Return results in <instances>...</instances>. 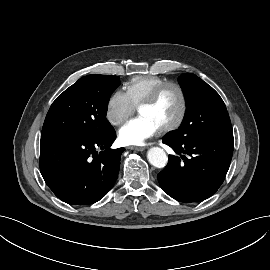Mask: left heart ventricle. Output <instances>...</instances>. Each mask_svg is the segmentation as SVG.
Wrapping results in <instances>:
<instances>
[{
  "label": "left heart ventricle",
  "instance_id": "1",
  "mask_svg": "<svg viewBox=\"0 0 270 270\" xmlns=\"http://www.w3.org/2000/svg\"><path fill=\"white\" fill-rule=\"evenodd\" d=\"M179 110V94L175 88L169 87L163 91L153 105L139 108V115L149 117L161 129L174 122L179 114Z\"/></svg>",
  "mask_w": 270,
  "mask_h": 270
}]
</instances>
